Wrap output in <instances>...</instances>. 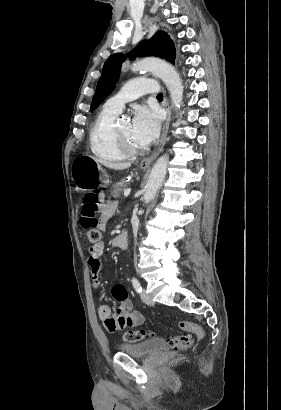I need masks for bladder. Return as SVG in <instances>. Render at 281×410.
<instances>
[{
    "label": "bladder",
    "instance_id": "1",
    "mask_svg": "<svg viewBox=\"0 0 281 410\" xmlns=\"http://www.w3.org/2000/svg\"><path fill=\"white\" fill-rule=\"evenodd\" d=\"M120 352L138 358H148L168 349V344L163 339H148L134 344H121Z\"/></svg>",
    "mask_w": 281,
    "mask_h": 410
}]
</instances>
